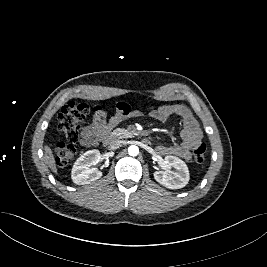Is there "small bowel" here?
I'll use <instances>...</instances> for the list:
<instances>
[{
    "mask_svg": "<svg viewBox=\"0 0 267 267\" xmlns=\"http://www.w3.org/2000/svg\"><path fill=\"white\" fill-rule=\"evenodd\" d=\"M140 114L139 111L132 110L129 104L121 102L116 106L115 115L107 120L106 113L97 108L92 121L82 132V145L86 147L97 145L105 139L110 130L117 127L121 122ZM151 116L161 122H166L171 117L176 116L181 119L183 124L180 133L181 142L168 146L160 145L156 148V152L163 156H175L184 160L190 159L192 150L202 140V131L190 109L182 104L163 105L153 110Z\"/></svg>",
    "mask_w": 267,
    "mask_h": 267,
    "instance_id": "small-bowel-1",
    "label": "small bowel"
}]
</instances>
